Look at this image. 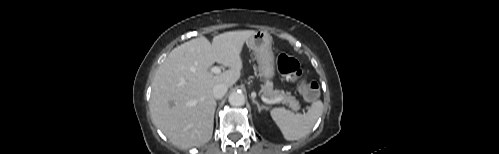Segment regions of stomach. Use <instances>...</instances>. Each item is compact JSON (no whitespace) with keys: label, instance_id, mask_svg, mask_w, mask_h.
Returning <instances> with one entry per match:
<instances>
[{"label":"stomach","instance_id":"0dacf381","mask_svg":"<svg viewBox=\"0 0 499 154\" xmlns=\"http://www.w3.org/2000/svg\"><path fill=\"white\" fill-rule=\"evenodd\" d=\"M246 43L254 52L259 77L264 80L272 79L275 76V57L271 35L266 31H256Z\"/></svg>","mask_w":499,"mask_h":154}]
</instances>
